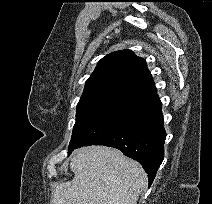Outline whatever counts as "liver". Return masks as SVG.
<instances>
[{
	"label": "liver",
	"mask_w": 212,
	"mask_h": 204,
	"mask_svg": "<svg viewBox=\"0 0 212 204\" xmlns=\"http://www.w3.org/2000/svg\"><path fill=\"white\" fill-rule=\"evenodd\" d=\"M70 169L74 178L54 187L51 204H137L148 182L139 163L111 147L75 150Z\"/></svg>",
	"instance_id": "1"
}]
</instances>
